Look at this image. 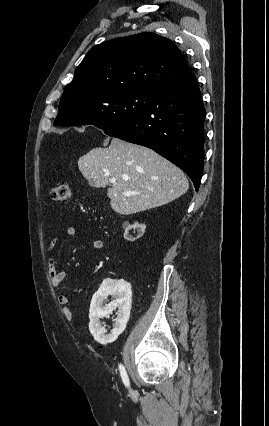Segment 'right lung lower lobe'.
Listing matches in <instances>:
<instances>
[{
  "label": "right lung lower lobe",
  "mask_w": 269,
  "mask_h": 426,
  "mask_svg": "<svg viewBox=\"0 0 269 426\" xmlns=\"http://www.w3.org/2000/svg\"><path fill=\"white\" fill-rule=\"evenodd\" d=\"M205 115L191 72L156 88L139 115L104 132L156 151L180 167L198 191L203 172Z\"/></svg>",
  "instance_id": "right-lung-lower-lobe-1"
}]
</instances>
